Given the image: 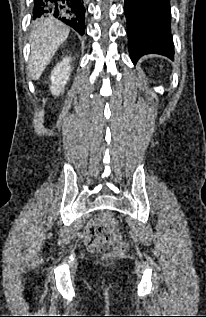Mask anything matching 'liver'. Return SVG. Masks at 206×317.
I'll return each instance as SVG.
<instances>
[{
    "label": "liver",
    "instance_id": "1",
    "mask_svg": "<svg viewBox=\"0 0 206 317\" xmlns=\"http://www.w3.org/2000/svg\"><path fill=\"white\" fill-rule=\"evenodd\" d=\"M70 28L55 18H41L34 22L31 34L29 72L38 80L60 45L67 39Z\"/></svg>",
    "mask_w": 206,
    "mask_h": 317
}]
</instances>
